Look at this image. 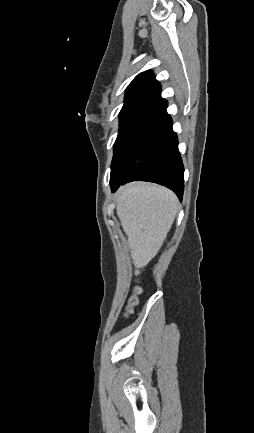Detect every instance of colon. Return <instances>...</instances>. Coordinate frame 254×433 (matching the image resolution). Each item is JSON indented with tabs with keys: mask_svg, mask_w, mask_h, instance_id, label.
<instances>
[{
	"mask_svg": "<svg viewBox=\"0 0 254 433\" xmlns=\"http://www.w3.org/2000/svg\"><path fill=\"white\" fill-rule=\"evenodd\" d=\"M138 293H140V288L139 287H137L135 289V295H133L130 298V300H129V306H128L127 310H126V315L130 314L131 311H132V307L136 305V303H137V296H136V294H138Z\"/></svg>",
	"mask_w": 254,
	"mask_h": 433,
	"instance_id": "colon-1",
	"label": "colon"
}]
</instances>
